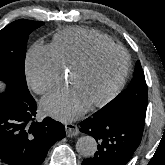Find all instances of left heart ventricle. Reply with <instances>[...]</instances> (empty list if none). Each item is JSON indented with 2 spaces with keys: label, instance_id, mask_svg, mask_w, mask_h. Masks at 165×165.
<instances>
[{
  "label": "left heart ventricle",
  "instance_id": "b2bd125f",
  "mask_svg": "<svg viewBox=\"0 0 165 165\" xmlns=\"http://www.w3.org/2000/svg\"><path fill=\"white\" fill-rule=\"evenodd\" d=\"M124 55L118 50H104L91 64L70 75L76 87L89 103L103 98L115 85L124 67Z\"/></svg>",
  "mask_w": 165,
  "mask_h": 165
}]
</instances>
